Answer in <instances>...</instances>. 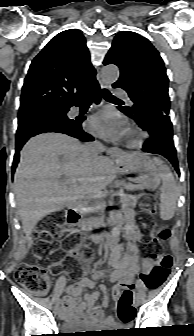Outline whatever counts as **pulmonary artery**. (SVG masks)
<instances>
[{
  "instance_id": "1",
  "label": "pulmonary artery",
  "mask_w": 194,
  "mask_h": 336,
  "mask_svg": "<svg viewBox=\"0 0 194 336\" xmlns=\"http://www.w3.org/2000/svg\"><path fill=\"white\" fill-rule=\"evenodd\" d=\"M114 95H115L116 97L123 98V99H124L125 101H127V102H130V99L128 98V96L126 95V93H125L122 89H120V88H117V89L115 90Z\"/></svg>"
}]
</instances>
